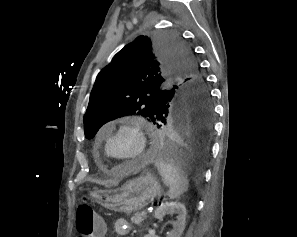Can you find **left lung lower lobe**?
Wrapping results in <instances>:
<instances>
[{"instance_id":"0a47b994","label":"left lung lower lobe","mask_w":297,"mask_h":237,"mask_svg":"<svg viewBox=\"0 0 297 237\" xmlns=\"http://www.w3.org/2000/svg\"><path fill=\"white\" fill-rule=\"evenodd\" d=\"M160 121L161 131L150 148V155L181 166L201 165L208 155L212 136L211 100L174 104Z\"/></svg>"}]
</instances>
